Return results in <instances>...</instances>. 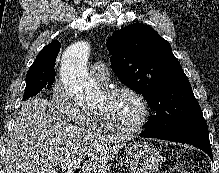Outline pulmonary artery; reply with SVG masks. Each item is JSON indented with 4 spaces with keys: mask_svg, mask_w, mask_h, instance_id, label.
<instances>
[{
    "mask_svg": "<svg viewBox=\"0 0 219 173\" xmlns=\"http://www.w3.org/2000/svg\"><path fill=\"white\" fill-rule=\"evenodd\" d=\"M90 75L98 83L104 85L109 80V72L105 62L98 60L91 64Z\"/></svg>",
    "mask_w": 219,
    "mask_h": 173,
    "instance_id": "obj_1",
    "label": "pulmonary artery"
}]
</instances>
